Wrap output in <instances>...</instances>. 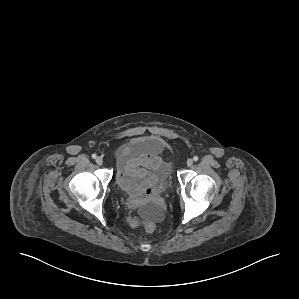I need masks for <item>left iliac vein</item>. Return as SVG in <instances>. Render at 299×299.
Instances as JSON below:
<instances>
[{"label": "left iliac vein", "instance_id": "4c4485c4", "mask_svg": "<svg viewBox=\"0 0 299 299\" xmlns=\"http://www.w3.org/2000/svg\"><path fill=\"white\" fill-rule=\"evenodd\" d=\"M193 165V160L192 159H188L187 160V166L191 167Z\"/></svg>", "mask_w": 299, "mask_h": 299}]
</instances>
